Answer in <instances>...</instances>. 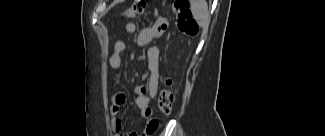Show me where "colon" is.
<instances>
[{
	"label": "colon",
	"mask_w": 325,
	"mask_h": 136,
	"mask_svg": "<svg viewBox=\"0 0 325 136\" xmlns=\"http://www.w3.org/2000/svg\"><path fill=\"white\" fill-rule=\"evenodd\" d=\"M146 0H134L132 5L125 11L124 16L135 18L144 12ZM173 11L177 16V25L181 32L187 35H193L198 30V25L192 16L189 0H174ZM170 80L165 81L164 87L158 95V107L164 115L170 114L173 109L175 97L170 89Z\"/></svg>",
	"instance_id": "colon-1"
}]
</instances>
